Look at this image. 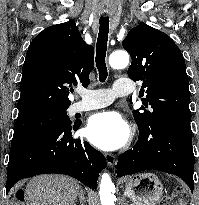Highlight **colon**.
Listing matches in <instances>:
<instances>
[{
	"label": "colon",
	"instance_id": "colon-1",
	"mask_svg": "<svg viewBox=\"0 0 199 205\" xmlns=\"http://www.w3.org/2000/svg\"><path fill=\"white\" fill-rule=\"evenodd\" d=\"M186 201V192L178 188L173 196L164 197L159 205H182Z\"/></svg>",
	"mask_w": 199,
	"mask_h": 205
}]
</instances>
